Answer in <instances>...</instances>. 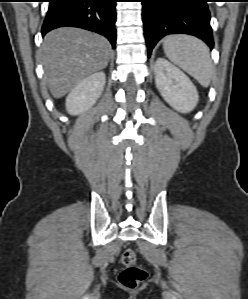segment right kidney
I'll return each mask as SVG.
<instances>
[{
  "label": "right kidney",
  "instance_id": "ca27d5eb",
  "mask_svg": "<svg viewBox=\"0 0 248 299\" xmlns=\"http://www.w3.org/2000/svg\"><path fill=\"white\" fill-rule=\"evenodd\" d=\"M106 82L103 72L94 73L80 81L66 98L70 115H79L90 109L101 96Z\"/></svg>",
  "mask_w": 248,
  "mask_h": 299
}]
</instances>
